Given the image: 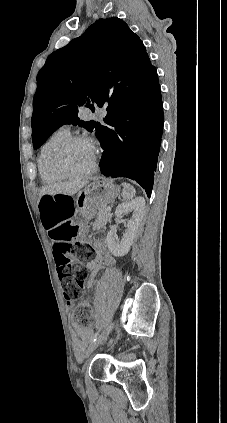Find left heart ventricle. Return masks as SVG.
<instances>
[{
  "label": "left heart ventricle",
  "instance_id": "left-heart-ventricle-1",
  "mask_svg": "<svg viewBox=\"0 0 227 423\" xmlns=\"http://www.w3.org/2000/svg\"><path fill=\"white\" fill-rule=\"evenodd\" d=\"M95 159L94 149L85 143H75L63 155L65 166L73 173L86 171Z\"/></svg>",
  "mask_w": 227,
  "mask_h": 423
}]
</instances>
